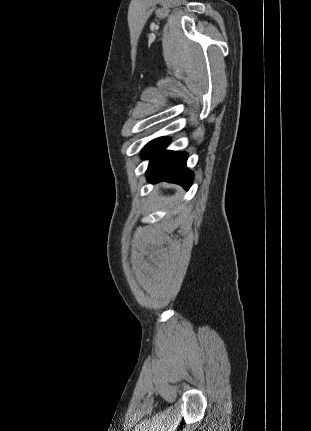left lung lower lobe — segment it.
Wrapping results in <instances>:
<instances>
[{"label":"left lung lower lobe","instance_id":"obj_1","mask_svg":"<svg viewBox=\"0 0 311 431\" xmlns=\"http://www.w3.org/2000/svg\"><path fill=\"white\" fill-rule=\"evenodd\" d=\"M169 140L161 137L149 142L142 150L143 158H151L146 176L150 182L168 181L188 190L194 174L186 166L188 154L166 151Z\"/></svg>","mask_w":311,"mask_h":431}]
</instances>
